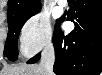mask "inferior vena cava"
Here are the masks:
<instances>
[{"instance_id":"1","label":"inferior vena cava","mask_w":102,"mask_h":75,"mask_svg":"<svg viewBox=\"0 0 102 75\" xmlns=\"http://www.w3.org/2000/svg\"><path fill=\"white\" fill-rule=\"evenodd\" d=\"M55 62V51L52 43H49L43 50L40 64L46 70L47 75H53V65Z\"/></svg>"}]
</instances>
